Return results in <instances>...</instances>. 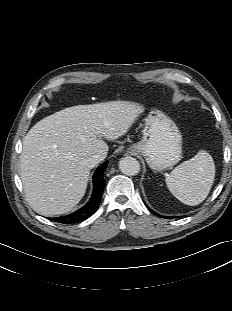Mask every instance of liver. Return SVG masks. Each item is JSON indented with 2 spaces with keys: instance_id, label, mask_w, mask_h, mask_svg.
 <instances>
[{
  "instance_id": "6515ba94",
  "label": "liver",
  "mask_w": 232,
  "mask_h": 311,
  "mask_svg": "<svg viewBox=\"0 0 232 311\" xmlns=\"http://www.w3.org/2000/svg\"><path fill=\"white\" fill-rule=\"evenodd\" d=\"M143 107L110 101L65 108L37 122L23 140L21 180L29 205L44 216L70 212L84 196L90 169L86 159L107 156L102 140L127 133Z\"/></svg>"
}]
</instances>
